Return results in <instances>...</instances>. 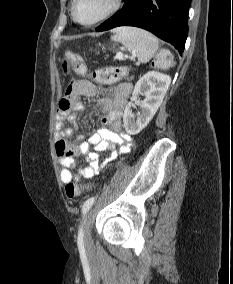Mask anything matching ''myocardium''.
<instances>
[{
  "instance_id": "obj_1",
  "label": "myocardium",
  "mask_w": 233,
  "mask_h": 284,
  "mask_svg": "<svg viewBox=\"0 0 233 284\" xmlns=\"http://www.w3.org/2000/svg\"><path fill=\"white\" fill-rule=\"evenodd\" d=\"M77 2L78 0H72V3H71L70 10H71L72 18L77 24L82 25V26H87V27L94 26L96 24H99L105 21L106 19L114 15L121 8V5H122V0H111L110 6L101 16H99L98 18L90 22H82L76 17L75 8H76Z\"/></svg>"
}]
</instances>
